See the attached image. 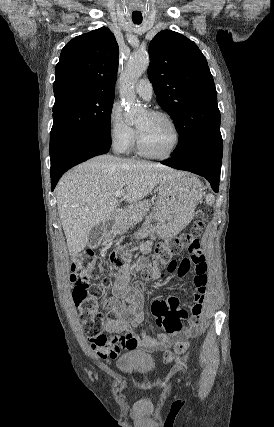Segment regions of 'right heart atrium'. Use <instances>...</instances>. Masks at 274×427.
<instances>
[{
    "label": "right heart atrium",
    "instance_id": "obj_1",
    "mask_svg": "<svg viewBox=\"0 0 274 427\" xmlns=\"http://www.w3.org/2000/svg\"><path fill=\"white\" fill-rule=\"evenodd\" d=\"M108 136L112 146L120 152L130 151L135 143V132L126 124L116 105L112 106L108 115Z\"/></svg>",
    "mask_w": 274,
    "mask_h": 427
}]
</instances>
